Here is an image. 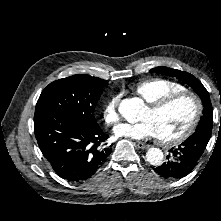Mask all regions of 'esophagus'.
<instances>
[{
  "instance_id": "34e87169",
  "label": "esophagus",
  "mask_w": 221,
  "mask_h": 221,
  "mask_svg": "<svg viewBox=\"0 0 221 221\" xmlns=\"http://www.w3.org/2000/svg\"><path fill=\"white\" fill-rule=\"evenodd\" d=\"M136 146H137L138 148H140V149H147V148H149V145H147V144H145V143H143V142H140V141H138V142L136 143Z\"/></svg>"
}]
</instances>
